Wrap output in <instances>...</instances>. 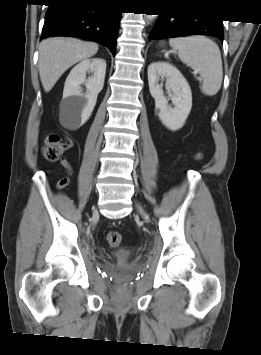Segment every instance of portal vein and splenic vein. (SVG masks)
<instances>
[{"instance_id":"18ae733b","label":"portal vein and splenic vein","mask_w":261,"mask_h":355,"mask_svg":"<svg viewBox=\"0 0 261 355\" xmlns=\"http://www.w3.org/2000/svg\"><path fill=\"white\" fill-rule=\"evenodd\" d=\"M194 75H197V72H193ZM200 80V78H198Z\"/></svg>"}]
</instances>
